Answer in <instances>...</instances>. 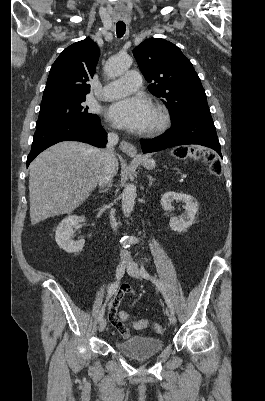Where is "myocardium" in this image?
<instances>
[{
  "instance_id": "f54148a6",
  "label": "myocardium",
  "mask_w": 265,
  "mask_h": 401,
  "mask_svg": "<svg viewBox=\"0 0 265 401\" xmlns=\"http://www.w3.org/2000/svg\"><path fill=\"white\" fill-rule=\"evenodd\" d=\"M152 108L156 113V121L151 127L145 129V133L148 135L156 134L165 129L170 119L169 112L164 105L155 103Z\"/></svg>"
}]
</instances>
